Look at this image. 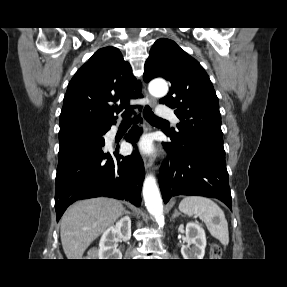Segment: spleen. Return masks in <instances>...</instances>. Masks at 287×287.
Instances as JSON below:
<instances>
[{
    "label": "spleen",
    "mask_w": 287,
    "mask_h": 287,
    "mask_svg": "<svg viewBox=\"0 0 287 287\" xmlns=\"http://www.w3.org/2000/svg\"><path fill=\"white\" fill-rule=\"evenodd\" d=\"M179 209L189 216H199L210 234L224 246L228 245V223L223 210L214 201L201 196H187L180 202Z\"/></svg>",
    "instance_id": "1"
}]
</instances>
